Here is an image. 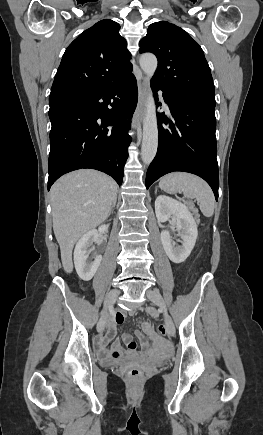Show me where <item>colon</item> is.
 Wrapping results in <instances>:
<instances>
[{"label": "colon", "instance_id": "colon-1", "mask_svg": "<svg viewBox=\"0 0 263 435\" xmlns=\"http://www.w3.org/2000/svg\"><path fill=\"white\" fill-rule=\"evenodd\" d=\"M157 329L159 330V333L164 335L165 334V329L163 324H157ZM152 342V341H151ZM163 343V341H162ZM143 377V371L138 368V367H133L131 369H129L126 374H125V378L130 381V382H138L142 379Z\"/></svg>", "mask_w": 263, "mask_h": 435}]
</instances>
